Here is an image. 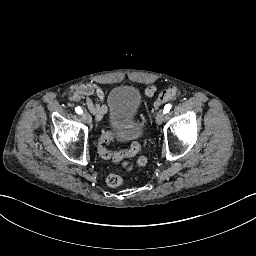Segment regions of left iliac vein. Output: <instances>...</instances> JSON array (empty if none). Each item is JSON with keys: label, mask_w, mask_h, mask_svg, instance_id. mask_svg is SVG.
Returning <instances> with one entry per match:
<instances>
[{"label": "left iliac vein", "mask_w": 256, "mask_h": 256, "mask_svg": "<svg viewBox=\"0 0 256 256\" xmlns=\"http://www.w3.org/2000/svg\"><path fill=\"white\" fill-rule=\"evenodd\" d=\"M164 118H165V113L163 110H159L157 115H156V122L158 125H160L163 121H164Z\"/></svg>", "instance_id": "left-iliac-vein-1"}]
</instances>
